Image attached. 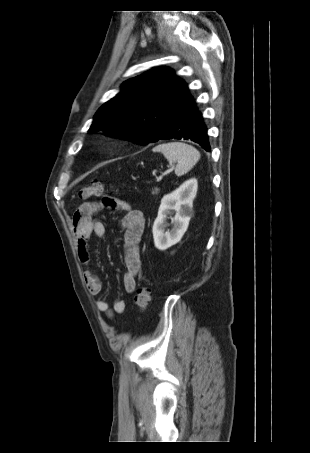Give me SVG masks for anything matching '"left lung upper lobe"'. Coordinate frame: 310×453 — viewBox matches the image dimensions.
Listing matches in <instances>:
<instances>
[{
  "label": "left lung upper lobe",
  "instance_id": "5c2ea615",
  "mask_svg": "<svg viewBox=\"0 0 310 453\" xmlns=\"http://www.w3.org/2000/svg\"><path fill=\"white\" fill-rule=\"evenodd\" d=\"M187 85L169 68H153L123 83L121 92L95 114L89 133L157 142L165 132Z\"/></svg>",
  "mask_w": 310,
  "mask_h": 453
}]
</instances>
